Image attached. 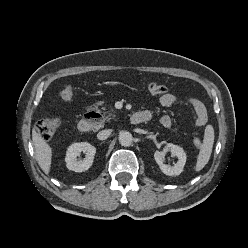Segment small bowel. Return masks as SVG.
<instances>
[{
  "label": "small bowel",
  "instance_id": "c3829d8e",
  "mask_svg": "<svg viewBox=\"0 0 248 248\" xmlns=\"http://www.w3.org/2000/svg\"><path fill=\"white\" fill-rule=\"evenodd\" d=\"M178 101V97L172 93L163 94L159 98V102L164 107H170ZM188 103L192 106L194 111V118L193 122L195 126L201 127L207 123L208 120V113L205 105L196 98H189L187 99ZM147 113L151 117V111L145 110L143 111ZM161 124L169 128L172 125V118L169 115H163L160 119Z\"/></svg>",
  "mask_w": 248,
  "mask_h": 248
}]
</instances>
